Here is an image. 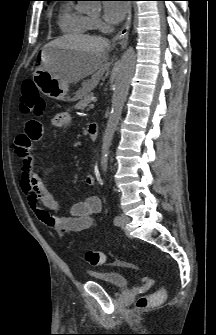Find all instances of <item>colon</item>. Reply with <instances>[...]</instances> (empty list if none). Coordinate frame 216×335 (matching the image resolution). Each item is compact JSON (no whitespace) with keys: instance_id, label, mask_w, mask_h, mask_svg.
<instances>
[{"instance_id":"obj_1","label":"colon","mask_w":216,"mask_h":335,"mask_svg":"<svg viewBox=\"0 0 216 335\" xmlns=\"http://www.w3.org/2000/svg\"><path fill=\"white\" fill-rule=\"evenodd\" d=\"M20 107L24 113L36 116L42 115L46 110L45 101L32 80H25L22 84V99ZM84 256L86 262L91 266H100L105 261V255L100 251L89 249L85 251ZM164 297V291L142 296L138 299L136 306L138 309H145L157 304Z\"/></svg>"}]
</instances>
